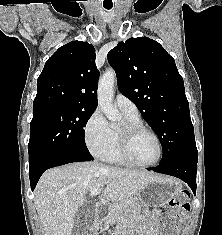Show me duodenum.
Segmentation results:
<instances>
[{"instance_id":"1","label":"duodenum","mask_w":222,"mask_h":235,"mask_svg":"<svg viewBox=\"0 0 222 235\" xmlns=\"http://www.w3.org/2000/svg\"><path fill=\"white\" fill-rule=\"evenodd\" d=\"M100 212H101V208L99 206H97V208H96V215L99 216Z\"/></svg>"}]
</instances>
